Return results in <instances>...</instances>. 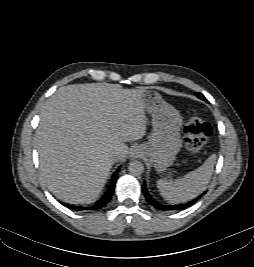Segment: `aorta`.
Here are the masks:
<instances>
[{
    "label": "aorta",
    "mask_w": 254,
    "mask_h": 267,
    "mask_svg": "<svg viewBox=\"0 0 254 267\" xmlns=\"http://www.w3.org/2000/svg\"><path fill=\"white\" fill-rule=\"evenodd\" d=\"M128 171L132 175L138 176V175L143 173L144 166L140 161L135 160V161H132V162L129 163Z\"/></svg>",
    "instance_id": "762f6f07"
}]
</instances>
